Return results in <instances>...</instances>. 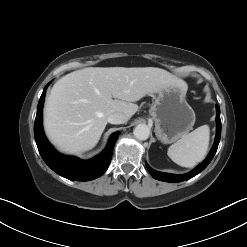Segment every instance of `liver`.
<instances>
[{
	"mask_svg": "<svg viewBox=\"0 0 247 247\" xmlns=\"http://www.w3.org/2000/svg\"><path fill=\"white\" fill-rule=\"evenodd\" d=\"M176 83L185 82L156 67H88L71 72L47 97L45 132L62 152L88 151L98 143L110 114L120 112L129 119L138 110L134 102Z\"/></svg>",
	"mask_w": 247,
	"mask_h": 247,
	"instance_id": "liver-1",
	"label": "liver"
}]
</instances>
